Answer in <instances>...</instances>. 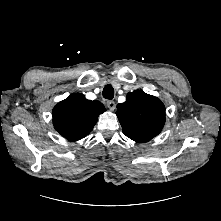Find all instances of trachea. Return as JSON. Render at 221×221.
<instances>
[{
	"instance_id": "obj_1",
	"label": "trachea",
	"mask_w": 221,
	"mask_h": 221,
	"mask_svg": "<svg viewBox=\"0 0 221 221\" xmlns=\"http://www.w3.org/2000/svg\"><path fill=\"white\" fill-rule=\"evenodd\" d=\"M103 97L105 99L111 100L114 97V89L111 85H106L103 89Z\"/></svg>"
}]
</instances>
